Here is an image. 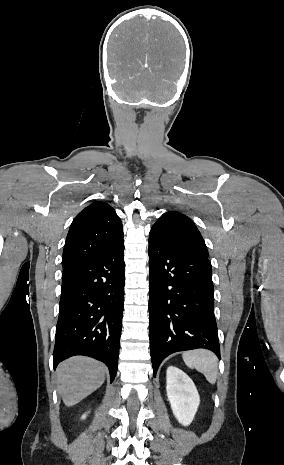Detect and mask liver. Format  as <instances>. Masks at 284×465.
<instances>
[{
    "label": "liver",
    "mask_w": 284,
    "mask_h": 465,
    "mask_svg": "<svg viewBox=\"0 0 284 465\" xmlns=\"http://www.w3.org/2000/svg\"><path fill=\"white\" fill-rule=\"evenodd\" d=\"M106 367L89 357H72L57 369L58 393L66 407H73L99 389L105 381Z\"/></svg>",
    "instance_id": "1"
}]
</instances>
